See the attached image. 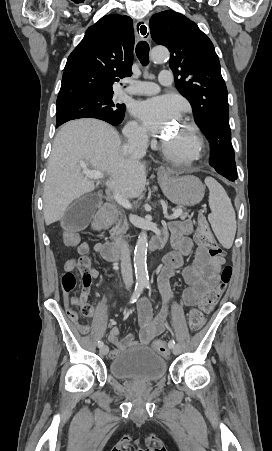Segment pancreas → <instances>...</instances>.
<instances>
[{
	"label": "pancreas",
	"mask_w": 272,
	"mask_h": 451,
	"mask_svg": "<svg viewBox=\"0 0 272 451\" xmlns=\"http://www.w3.org/2000/svg\"><path fill=\"white\" fill-rule=\"evenodd\" d=\"M188 214L189 212H186L185 208H183L179 216L180 220H186ZM127 229H128L127 220H123V222H118L116 226L110 229V237H112V241L113 243H115V245H121V241L124 237L123 233H126Z\"/></svg>",
	"instance_id": "1"
}]
</instances>
